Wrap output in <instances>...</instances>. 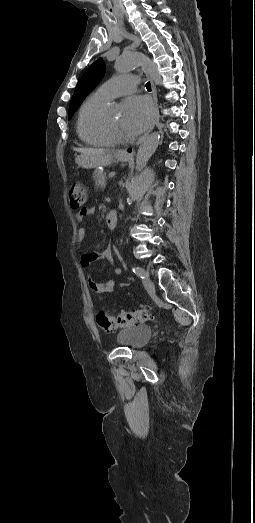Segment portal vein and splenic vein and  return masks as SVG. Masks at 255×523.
Masks as SVG:
<instances>
[{"mask_svg":"<svg viewBox=\"0 0 255 523\" xmlns=\"http://www.w3.org/2000/svg\"><path fill=\"white\" fill-rule=\"evenodd\" d=\"M115 177V171H112L108 174V180H111Z\"/></svg>","mask_w":255,"mask_h":523,"instance_id":"portal-vein-and-splenic-vein-1","label":"portal vein and splenic vein"}]
</instances>
